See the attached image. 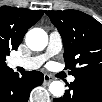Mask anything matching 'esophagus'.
Segmentation results:
<instances>
[{"mask_svg":"<svg viewBox=\"0 0 102 102\" xmlns=\"http://www.w3.org/2000/svg\"><path fill=\"white\" fill-rule=\"evenodd\" d=\"M53 79H54V77L51 74H45L44 75V84H49Z\"/></svg>","mask_w":102,"mask_h":102,"instance_id":"obj_1","label":"esophagus"}]
</instances>
